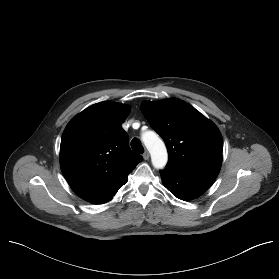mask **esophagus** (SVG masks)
<instances>
[{
    "instance_id": "esophagus-1",
    "label": "esophagus",
    "mask_w": 279,
    "mask_h": 279,
    "mask_svg": "<svg viewBox=\"0 0 279 279\" xmlns=\"http://www.w3.org/2000/svg\"><path fill=\"white\" fill-rule=\"evenodd\" d=\"M149 157H150L149 152H148V151H145V152H144V154H143V158H144V160H148V159H149Z\"/></svg>"
}]
</instances>
